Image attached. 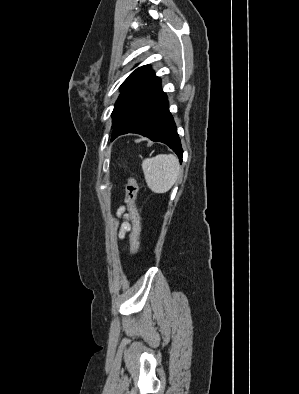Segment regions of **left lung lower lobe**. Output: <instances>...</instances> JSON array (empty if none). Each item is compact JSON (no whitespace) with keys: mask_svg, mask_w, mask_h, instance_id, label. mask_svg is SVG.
<instances>
[{"mask_svg":"<svg viewBox=\"0 0 299 394\" xmlns=\"http://www.w3.org/2000/svg\"><path fill=\"white\" fill-rule=\"evenodd\" d=\"M126 133H138L168 145L182 162L183 150L176 125L169 112L166 94L160 79L153 82L132 104L121 120L114 126L112 139Z\"/></svg>","mask_w":299,"mask_h":394,"instance_id":"0a47b994","label":"left lung lower lobe"}]
</instances>
